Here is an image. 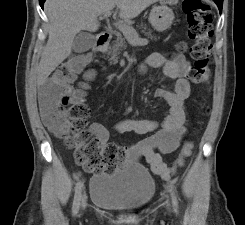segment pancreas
Instances as JSON below:
<instances>
[{
    "instance_id": "obj_1",
    "label": "pancreas",
    "mask_w": 245,
    "mask_h": 225,
    "mask_svg": "<svg viewBox=\"0 0 245 225\" xmlns=\"http://www.w3.org/2000/svg\"><path fill=\"white\" fill-rule=\"evenodd\" d=\"M146 35L150 38L153 37L151 35V32H147ZM116 36V40L113 42L112 46L109 47V50L107 52V55L111 56L109 60L112 61L114 64L118 62L120 52L127 47L125 38L120 33H117Z\"/></svg>"
}]
</instances>
